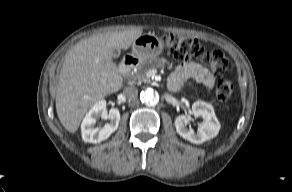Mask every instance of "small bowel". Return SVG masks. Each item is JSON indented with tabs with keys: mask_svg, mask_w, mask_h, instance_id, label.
I'll return each instance as SVG.
<instances>
[{
	"mask_svg": "<svg viewBox=\"0 0 292 192\" xmlns=\"http://www.w3.org/2000/svg\"><path fill=\"white\" fill-rule=\"evenodd\" d=\"M189 79H193L206 87H212L214 84V77L206 68L195 62H187L179 65L173 73L169 81V87L172 90H177Z\"/></svg>",
	"mask_w": 292,
	"mask_h": 192,
	"instance_id": "c3829d8e",
	"label": "small bowel"
}]
</instances>
